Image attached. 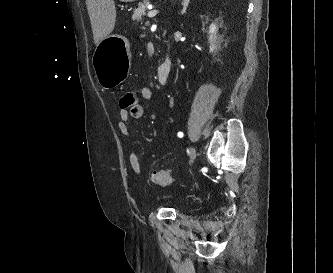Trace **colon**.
<instances>
[{
  "instance_id": "5ec220e1",
  "label": "colon",
  "mask_w": 333,
  "mask_h": 273,
  "mask_svg": "<svg viewBox=\"0 0 333 273\" xmlns=\"http://www.w3.org/2000/svg\"><path fill=\"white\" fill-rule=\"evenodd\" d=\"M137 103V96L134 91H126L119 100L121 109H129ZM149 181L158 186H167L172 182V175L169 170L162 169L153 171L149 176Z\"/></svg>"
}]
</instances>
